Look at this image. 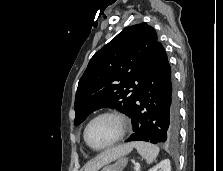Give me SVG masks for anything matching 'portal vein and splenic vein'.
I'll list each match as a JSON object with an SVG mask.
<instances>
[{
    "mask_svg": "<svg viewBox=\"0 0 223 171\" xmlns=\"http://www.w3.org/2000/svg\"><path fill=\"white\" fill-rule=\"evenodd\" d=\"M135 166V171H140V164L139 163H134Z\"/></svg>",
    "mask_w": 223,
    "mask_h": 171,
    "instance_id": "portal-vein-and-splenic-vein-1",
    "label": "portal vein and splenic vein"
}]
</instances>
